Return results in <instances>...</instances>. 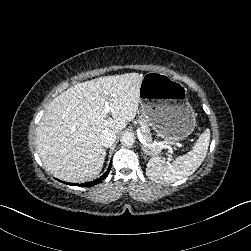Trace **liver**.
Returning <instances> with one entry per match:
<instances>
[{
    "label": "liver",
    "mask_w": 251,
    "mask_h": 251,
    "mask_svg": "<svg viewBox=\"0 0 251 251\" xmlns=\"http://www.w3.org/2000/svg\"><path fill=\"white\" fill-rule=\"evenodd\" d=\"M143 74L126 73L78 83L47 107L36 129V147L53 176L72 183L91 181L103 167V130L119 133L138 110ZM105 102L112 118L104 112Z\"/></svg>",
    "instance_id": "liver-1"
}]
</instances>
